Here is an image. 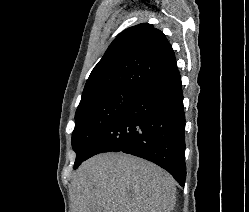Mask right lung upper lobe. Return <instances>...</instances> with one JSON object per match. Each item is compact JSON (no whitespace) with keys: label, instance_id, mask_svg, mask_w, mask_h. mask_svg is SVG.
Returning <instances> with one entry per match:
<instances>
[{"label":"right lung upper lobe","instance_id":"1","mask_svg":"<svg viewBox=\"0 0 249 212\" xmlns=\"http://www.w3.org/2000/svg\"><path fill=\"white\" fill-rule=\"evenodd\" d=\"M173 49L165 35L142 23L121 32L92 70L80 103L115 91H141L177 71Z\"/></svg>","mask_w":249,"mask_h":212}]
</instances>
